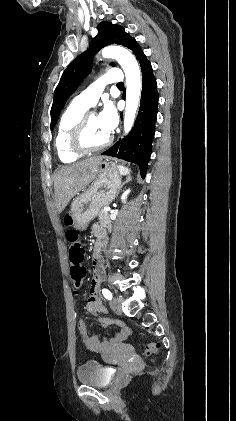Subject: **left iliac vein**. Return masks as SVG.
<instances>
[{"mask_svg": "<svg viewBox=\"0 0 236 421\" xmlns=\"http://www.w3.org/2000/svg\"><path fill=\"white\" fill-rule=\"evenodd\" d=\"M110 307L111 309L117 313L120 314L121 313V307H120V301L118 298H114L111 302H110Z\"/></svg>", "mask_w": 236, "mask_h": 421, "instance_id": "1", "label": "left iliac vein"}]
</instances>
